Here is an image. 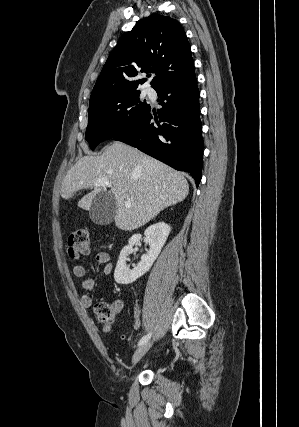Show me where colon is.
I'll use <instances>...</instances> for the list:
<instances>
[{"mask_svg":"<svg viewBox=\"0 0 299 427\" xmlns=\"http://www.w3.org/2000/svg\"><path fill=\"white\" fill-rule=\"evenodd\" d=\"M90 251V237L89 231L85 228L76 229L69 237V248L68 255L71 258H77L80 255H86ZM95 313L99 317L100 321L105 325L109 324L114 319V314L111 308L103 303L99 302L95 305Z\"/></svg>","mask_w":299,"mask_h":427,"instance_id":"5ec220e1","label":"colon"}]
</instances>
